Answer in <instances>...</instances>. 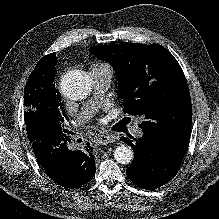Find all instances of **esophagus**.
Here are the masks:
<instances>
[{
  "label": "esophagus",
  "instance_id": "obj_1",
  "mask_svg": "<svg viewBox=\"0 0 219 219\" xmlns=\"http://www.w3.org/2000/svg\"><path fill=\"white\" fill-rule=\"evenodd\" d=\"M97 138H98L99 143L102 145H106L108 143L115 141L114 136L106 134V133L98 134Z\"/></svg>",
  "mask_w": 219,
  "mask_h": 219
}]
</instances>
